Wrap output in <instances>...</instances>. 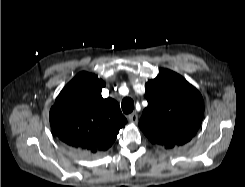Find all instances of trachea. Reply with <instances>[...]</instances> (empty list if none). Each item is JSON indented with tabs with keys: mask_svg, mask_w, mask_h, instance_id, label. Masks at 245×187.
Listing matches in <instances>:
<instances>
[{
	"mask_svg": "<svg viewBox=\"0 0 245 187\" xmlns=\"http://www.w3.org/2000/svg\"><path fill=\"white\" fill-rule=\"evenodd\" d=\"M122 110L125 114H129L133 111L134 109V102L131 98L126 97L122 100Z\"/></svg>",
	"mask_w": 245,
	"mask_h": 187,
	"instance_id": "1",
	"label": "trachea"
}]
</instances>
